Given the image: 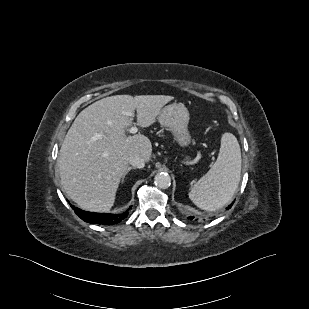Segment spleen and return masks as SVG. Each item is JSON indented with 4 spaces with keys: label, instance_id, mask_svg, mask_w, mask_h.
<instances>
[{
    "label": "spleen",
    "instance_id": "spleen-1",
    "mask_svg": "<svg viewBox=\"0 0 309 309\" xmlns=\"http://www.w3.org/2000/svg\"><path fill=\"white\" fill-rule=\"evenodd\" d=\"M241 175V150L236 137L224 133L218 158L190 189V200L200 209L215 211L232 199Z\"/></svg>",
    "mask_w": 309,
    "mask_h": 309
}]
</instances>
